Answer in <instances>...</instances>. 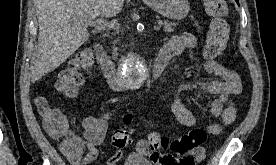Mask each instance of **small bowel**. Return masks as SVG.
<instances>
[{
	"label": "small bowel",
	"instance_id": "small-bowel-1",
	"mask_svg": "<svg viewBox=\"0 0 276 165\" xmlns=\"http://www.w3.org/2000/svg\"><path fill=\"white\" fill-rule=\"evenodd\" d=\"M196 45V37L190 32H183L175 35L163 46L159 55H162L170 61L174 57L183 54L186 50ZM206 72L213 74L218 79L213 81H196L185 82L178 86L175 91L171 110L178 122L186 127H193L197 123L195 115L185 106L181 95L187 91L206 92L217 96L213 102L211 112L214 116L221 118V123H214L208 127L211 134H218L223 125L230 124L234 121L236 111L230 101L232 95H237L242 91V82L239 74L231 70L219 62L208 59L204 63ZM110 113L105 112L99 116L85 115L81 118L83 132L78 135L72 130H68L67 134L74 138L79 148L75 153L63 152L68 156L73 165H88L98 157L97 146L102 144L106 138L108 130V120ZM140 141L139 143L143 142ZM138 143V144H139ZM87 148L88 152L83 155V149ZM140 157L145 158L154 165H196L204 157L202 149L191 155L181 158L174 157L171 154L157 153L155 158H150L148 154L138 149ZM125 159L122 150H117L107 162V165H117ZM130 159H126V163ZM125 163V164H126Z\"/></svg>",
	"mask_w": 276,
	"mask_h": 165
}]
</instances>
